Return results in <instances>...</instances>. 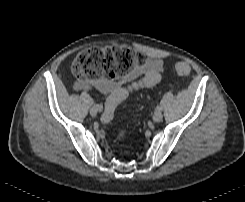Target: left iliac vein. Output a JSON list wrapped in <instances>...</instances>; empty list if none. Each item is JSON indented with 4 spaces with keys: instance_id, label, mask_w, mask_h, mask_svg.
Returning <instances> with one entry per match:
<instances>
[{
    "instance_id": "obj_1",
    "label": "left iliac vein",
    "mask_w": 245,
    "mask_h": 202,
    "mask_svg": "<svg viewBox=\"0 0 245 202\" xmlns=\"http://www.w3.org/2000/svg\"><path fill=\"white\" fill-rule=\"evenodd\" d=\"M162 118H163V115H162V113H161L160 111H156V112L154 113V115H153V121H154L155 123L160 122V121L162 120Z\"/></svg>"
}]
</instances>
